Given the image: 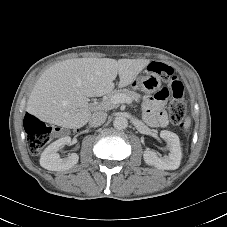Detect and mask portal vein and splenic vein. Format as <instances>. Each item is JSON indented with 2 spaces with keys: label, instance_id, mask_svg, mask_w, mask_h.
Here are the masks:
<instances>
[{
  "label": "portal vein and splenic vein",
  "instance_id": "18ae733b",
  "mask_svg": "<svg viewBox=\"0 0 227 227\" xmlns=\"http://www.w3.org/2000/svg\"><path fill=\"white\" fill-rule=\"evenodd\" d=\"M132 100L129 97H126L125 95H115L112 98V103L114 104H122V103H127L130 104Z\"/></svg>",
  "mask_w": 227,
  "mask_h": 227
}]
</instances>
